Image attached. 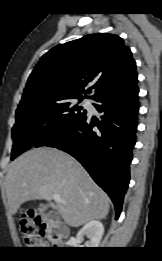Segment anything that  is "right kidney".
I'll use <instances>...</instances> for the list:
<instances>
[{"label":"right kidney","mask_w":162,"mask_h":261,"mask_svg":"<svg viewBox=\"0 0 162 261\" xmlns=\"http://www.w3.org/2000/svg\"><path fill=\"white\" fill-rule=\"evenodd\" d=\"M104 233V226L98 220H93L87 223L77 234V239L81 240L84 236L89 239L87 247L97 248L100 244Z\"/></svg>","instance_id":"1"}]
</instances>
